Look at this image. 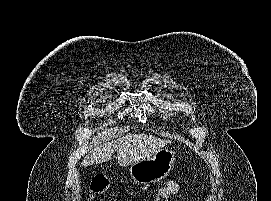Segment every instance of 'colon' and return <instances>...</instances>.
Wrapping results in <instances>:
<instances>
[{
  "mask_svg": "<svg viewBox=\"0 0 271 201\" xmlns=\"http://www.w3.org/2000/svg\"><path fill=\"white\" fill-rule=\"evenodd\" d=\"M108 187V181L105 178H95L93 179L90 187L91 196H95L103 193ZM180 189V184L178 181H170L166 186L161 188L154 201H169L172 196L178 193ZM116 201V200H111Z\"/></svg>",
  "mask_w": 271,
  "mask_h": 201,
  "instance_id": "obj_1",
  "label": "colon"
}]
</instances>
